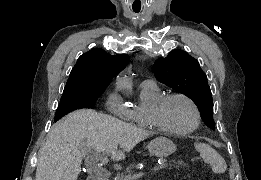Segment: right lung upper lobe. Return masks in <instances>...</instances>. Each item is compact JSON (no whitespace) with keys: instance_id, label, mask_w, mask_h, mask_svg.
Here are the masks:
<instances>
[{"instance_id":"1","label":"right lung upper lobe","mask_w":261,"mask_h":180,"mask_svg":"<svg viewBox=\"0 0 261 180\" xmlns=\"http://www.w3.org/2000/svg\"><path fill=\"white\" fill-rule=\"evenodd\" d=\"M128 61L126 54L112 56L100 48H94L78 58L64 89L104 91Z\"/></svg>"}]
</instances>
